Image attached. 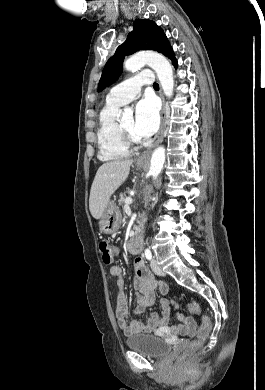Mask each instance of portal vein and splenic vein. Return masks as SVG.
I'll return each instance as SVG.
<instances>
[{
  "label": "portal vein and splenic vein",
  "mask_w": 265,
  "mask_h": 390,
  "mask_svg": "<svg viewBox=\"0 0 265 390\" xmlns=\"http://www.w3.org/2000/svg\"><path fill=\"white\" fill-rule=\"evenodd\" d=\"M132 201H133V199H132L131 197H127V198L125 199V205H126V206L130 205V204L132 203Z\"/></svg>",
  "instance_id": "1"
}]
</instances>
